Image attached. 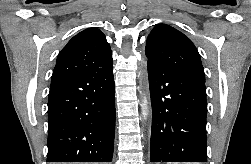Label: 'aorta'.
<instances>
[{
	"instance_id": "aorta-1",
	"label": "aorta",
	"mask_w": 251,
	"mask_h": 164,
	"mask_svg": "<svg viewBox=\"0 0 251 164\" xmlns=\"http://www.w3.org/2000/svg\"><path fill=\"white\" fill-rule=\"evenodd\" d=\"M144 107H145V104L143 105V109H144ZM143 115H144V116L146 115L145 110L143 111Z\"/></svg>"
}]
</instances>
